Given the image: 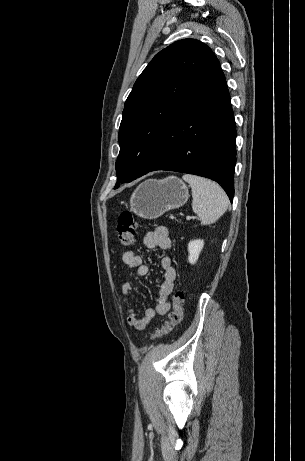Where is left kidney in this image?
<instances>
[{"instance_id": "left-kidney-1", "label": "left kidney", "mask_w": 305, "mask_h": 461, "mask_svg": "<svg viewBox=\"0 0 305 461\" xmlns=\"http://www.w3.org/2000/svg\"><path fill=\"white\" fill-rule=\"evenodd\" d=\"M204 246L203 240H192L188 244L189 257L188 260L191 264H195L199 258V254Z\"/></svg>"}]
</instances>
